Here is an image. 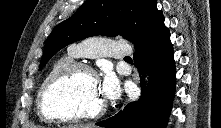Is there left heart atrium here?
<instances>
[{"mask_svg":"<svg viewBox=\"0 0 221 128\" xmlns=\"http://www.w3.org/2000/svg\"><path fill=\"white\" fill-rule=\"evenodd\" d=\"M100 87L104 99L114 100L117 98L119 94V86L112 74L108 73L104 76V80Z\"/></svg>","mask_w":221,"mask_h":128,"instance_id":"39dd6f15","label":"left heart atrium"}]
</instances>
